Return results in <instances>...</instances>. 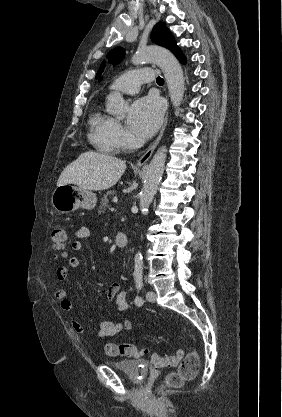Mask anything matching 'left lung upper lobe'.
Here are the masks:
<instances>
[{
  "label": "left lung upper lobe",
  "instance_id": "obj_1",
  "mask_svg": "<svg viewBox=\"0 0 282 417\" xmlns=\"http://www.w3.org/2000/svg\"><path fill=\"white\" fill-rule=\"evenodd\" d=\"M151 39L154 43L166 47L171 51L177 48L173 35L162 22H159L157 25L154 26L151 34ZM124 55V50L121 47H117L107 54V58H109V62L111 64H118L123 59ZM105 66L106 64L103 62L96 74V79L99 78V81L102 79L101 73L103 72Z\"/></svg>",
  "mask_w": 282,
  "mask_h": 417
}]
</instances>
